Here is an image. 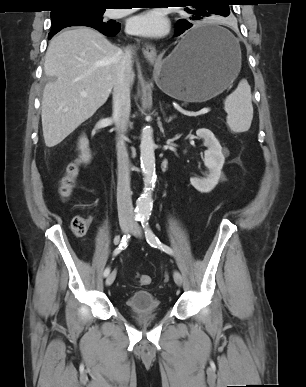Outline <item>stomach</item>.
<instances>
[{
  "instance_id": "1",
  "label": "stomach",
  "mask_w": 306,
  "mask_h": 387,
  "mask_svg": "<svg viewBox=\"0 0 306 387\" xmlns=\"http://www.w3.org/2000/svg\"><path fill=\"white\" fill-rule=\"evenodd\" d=\"M227 31L204 22L192 32ZM228 40L203 43L185 48L184 39L162 61L155 64V81L167 95L185 102H204L229 87L241 69V51L237 40L227 33Z\"/></svg>"
}]
</instances>
